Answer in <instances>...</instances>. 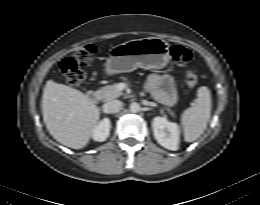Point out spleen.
Here are the masks:
<instances>
[{"mask_svg": "<svg viewBox=\"0 0 260 205\" xmlns=\"http://www.w3.org/2000/svg\"><path fill=\"white\" fill-rule=\"evenodd\" d=\"M211 113V93L208 87L201 86L197 90V100L194 106L186 109L182 114L184 140H197L207 127Z\"/></svg>", "mask_w": 260, "mask_h": 205, "instance_id": "3e777b00", "label": "spleen"}]
</instances>
